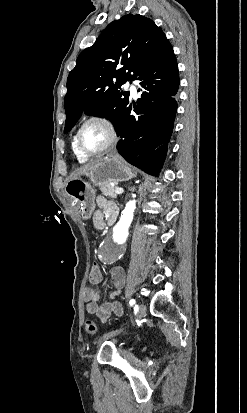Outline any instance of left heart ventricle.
<instances>
[{"instance_id": "obj_1", "label": "left heart ventricle", "mask_w": 247, "mask_h": 413, "mask_svg": "<svg viewBox=\"0 0 247 413\" xmlns=\"http://www.w3.org/2000/svg\"><path fill=\"white\" fill-rule=\"evenodd\" d=\"M110 137L108 128L91 124L83 129L80 134V143L87 151H96L104 146Z\"/></svg>"}]
</instances>
